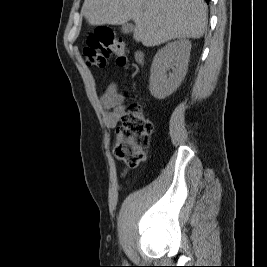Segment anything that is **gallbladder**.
I'll return each mask as SVG.
<instances>
[{
  "instance_id": "gallbladder-1",
  "label": "gallbladder",
  "mask_w": 267,
  "mask_h": 267,
  "mask_svg": "<svg viewBox=\"0 0 267 267\" xmlns=\"http://www.w3.org/2000/svg\"><path fill=\"white\" fill-rule=\"evenodd\" d=\"M134 30V25L131 24V23H126V24H123L122 27H121V31L122 33H130Z\"/></svg>"
}]
</instances>
